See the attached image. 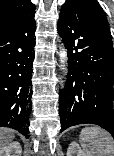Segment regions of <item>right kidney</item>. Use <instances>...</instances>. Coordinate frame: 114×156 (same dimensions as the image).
Wrapping results in <instances>:
<instances>
[{"instance_id":"ca27d5eb","label":"right kidney","mask_w":114,"mask_h":156,"mask_svg":"<svg viewBox=\"0 0 114 156\" xmlns=\"http://www.w3.org/2000/svg\"><path fill=\"white\" fill-rule=\"evenodd\" d=\"M21 152L20 143L12 142L0 150V156H21Z\"/></svg>"}]
</instances>
